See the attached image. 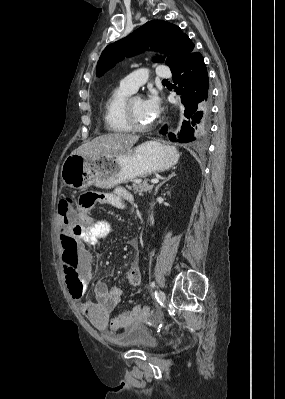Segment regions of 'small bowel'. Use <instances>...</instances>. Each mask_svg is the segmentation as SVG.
I'll use <instances>...</instances> for the list:
<instances>
[{"mask_svg":"<svg viewBox=\"0 0 285 399\" xmlns=\"http://www.w3.org/2000/svg\"><path fill=\"white\" fill-rule=\"evenodd\" d=\"M98 203H109L118 206L127 205L132 211L135 200L128 191L117 189L113 195L98 193ZM91 210L92 207L86 208L80 206L78 211L71 209L67 211L65 215H62L60 210L57 211L59 221L66 223L59 232L60 256L63 257L70 249H75L77 252L82 280L81 292L83 293L80 297H74L72 294L71 296L80 302V309L83 315L87 317L97 329L120 334L127 326L113 328L111 326L110 313L114 310L122 297L123 291L121 287L116 286L113 289H109L105 283L96 282L93 286L96 301L83 300L84 294L90 287L92 255L80 245V242L85 241L90 244H97L115 230V226L106 220L98 219L89 222L79 221L80 216H87ZM131 243L136 249L138 248V244L135 240H132ZM139 260L140 257L137 255L125 276L126 282L133 287H138L142 283ZM140 320L141 319L138 321Z\"/></svg>","mask_w":285,"mask_h":399,"instance_id":"c3829d8e","label":"small bowel"}]
</instances>
